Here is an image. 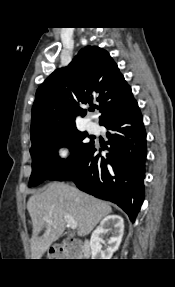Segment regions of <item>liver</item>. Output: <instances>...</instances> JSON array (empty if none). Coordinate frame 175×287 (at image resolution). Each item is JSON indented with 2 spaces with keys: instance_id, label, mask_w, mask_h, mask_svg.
Here are the masks:
<instances>
[{
  "instance_id": "obj_1",
  "label": "liver",
  "mask_w": 175,
  "mask_h": 287,
  "mask_svg": "<svg viewBox=\"0 0 175 287\" xmlns=\"http://www.w3.org/2000/svg\"><path fill=\"white\" fill-rule=\"evenodd\" d=\"M27 210L33 225L32 259H40L61 236L66 226L65 215L77 222V235L82 237L112 212L108 203L61 182L50 183L43 192L33 194L27 202ZM46 218L50 221L46 222Z\"/></svg>"
}]
</instances>
